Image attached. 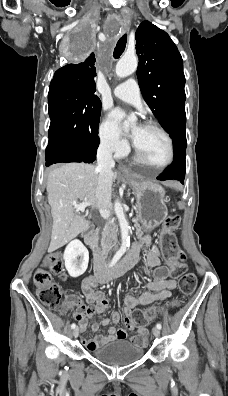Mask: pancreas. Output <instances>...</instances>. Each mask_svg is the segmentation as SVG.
<instances>
[{
  "mask_svg": "<svg viewBox=\"0 0 228 396\" xmlns=\"http://www.w3.org/2000/svg\"><path fill=\"white\" fill-rule=\"evenodd\" d=\"M132 223L135 226V232L138 234L137 236L139 237L138 239L140 240L141 234H144V231H141V226L139 225V220L137 219V216L132 217ZM116 236V231L113 226L110 224H107L103 231L101 232V240L100 243L103 246V252L106 251L107 245L106 243H109L114 239Z\"/></svg>",
  "mask_w": 228,
  "mask_h": 396,
  "instance_id": "pancreas-1",
  "label": "pancreas"
}]
</instances>
